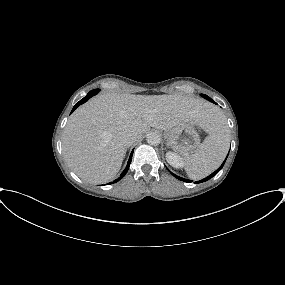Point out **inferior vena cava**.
<instances>
[{
  "instance_id": "obj_1",
  "label": "inferior vena cava",
  "mask_w": 285,
  "mask_h": 285,
  "mask_svg": "<svg viewBox=\"0 0 285 285\" xmlns=\"http://www.w3.org/2000/svg\"><path fill=\"white\" fill-rule=\"evenodd\" d=\"M137 139H138L137 136L132 133H126L122 136V141L125 144V146H130L131 144L136 142Z\"/></svg>"
}]
</instances>
